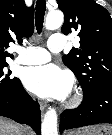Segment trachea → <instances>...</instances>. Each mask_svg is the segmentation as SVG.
<instances>
[{"label": "trachea", "mask_w": 112, "mask_h": 135, "mask_svg": "<svg viewBox=\"0 0 112 135\" xmlns=\"http://www.w3.org/2000/svg\"><path fill=\"white\" fill-rule=\"evenodd\" d=\"M46 10V3L44 0H37L35 12V24L38 33L40 34L43 29L44 15Z\"/></svg>", "instance_id": "1"}]
</instances>
